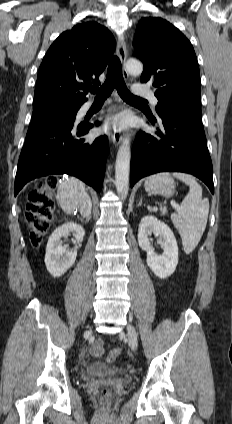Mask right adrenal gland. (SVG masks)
Returning <instances> with one entry per match:
<instances>
[{"instance_id":"2a0ac1e0","label":"right adrenal gland","mask_w":232,"mask_h":424,"mask_svg":"<svg viewBox=\"0 0 232 424\" xmlns=\"http://www.w3.org/2000/svg\"><path fill=\"white\" fill-rule=\"evenodd\" d=\"M77 217L82 223H88L91 219V213L89 214V216L86 219L79 217V216H77Z\"/></svg>"}]
</instances>
